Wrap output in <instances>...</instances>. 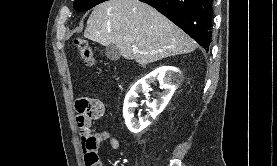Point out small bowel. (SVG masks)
<instances>
[{
    "instance_id": "1",
    "label": "small bowel",
    "mask_w": 277,
    "mask_h": 166,
    "mask_svg": "<svg viewBox=\"0 0 277 166\" xmlns=\"http://www.w3.org/2000/svg\"><path fill=\"white\" fill-rule=\"evenodd\" d=\"M77 111L76 122L80 128L90 126L91 119H99L105 113L103 103L97 98H80L75 103ZM82 150L87 166H93L90 158L97 155L100 145L106 141L109 142L113 149L119 148L118 140L108 131L82 133Z\"/></svg>"
}]
</instances>
